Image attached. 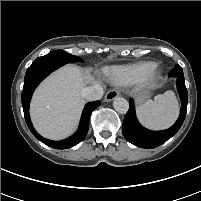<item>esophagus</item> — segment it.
Wrapping results in <instances>:
<instances>
[{
	"label": "esophagus",
	"mask_w": 201,
	"mask_h": 201,
	"mask_svg": "<svg viewBox=\"0 0 201 201\" xmlns=\"http://www.w3.org/2000/svg\"><path fill=\"white\" fill-rule=\"evenodd\" d=\"M118 95H119V91H118V90H115V89L109 90V91L106 93L105 101H107V102L112 101V100L115 99Z\"/></svg>",
	"instance_id": "obj_1"
}]
</instances>
